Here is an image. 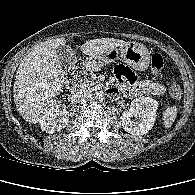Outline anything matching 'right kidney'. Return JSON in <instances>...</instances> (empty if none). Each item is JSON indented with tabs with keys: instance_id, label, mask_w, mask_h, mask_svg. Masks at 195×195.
<instances>
[{
	"instance_id": "ca27d5eb",
	"label": "right kidney",
	"mask_w": 195,
	"mask_h": 195,
	"mask_svg": "<svg viewBox=\"0 0 195 195\" xmlns=\"http://www.w3.org/2000/svg\"><path fill=\"white\" fill-rule=\"evenodd\" d=\"M68 119L69 114L65 106L61 101L55 100L40 121L41 129L46 133L58 132L67 125Z\"/></svg>"
}]
</instances>
